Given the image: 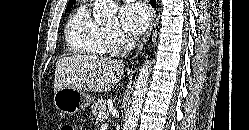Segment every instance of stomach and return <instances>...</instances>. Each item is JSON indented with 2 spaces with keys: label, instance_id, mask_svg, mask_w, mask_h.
Segmentation results:
<instances>
[{
  "label": "stomach",
  "instance_id": "1",
  "mask_svg": "<svg viewBox=\"0 0 249 130\" xmlns=\"http://www.w3.org/2000/svg\"><path fill=\"white\" fill-rule=\"evenodd\" d=\"M56 108L65 114H75L91 104V97L82 90L63 88L54 95Z\"/></svg>",
  "mask_w": 249,
  "mask_h": 130
}]
</instances>
